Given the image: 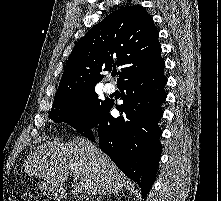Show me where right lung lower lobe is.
<instances>
[{"label": "right lung lower lobe", "instance_id": "1", "mask_svg": "<svg viewBox=\"0 0 221 201\" xmlns=\"http://www.w3.org/2000/svg\"><path fill=\"white\" fill-rule=\"evenodd\" d=\"M164 67L162 60L151 70L120 83L119 89L126 91L121 97L123 104L117 106L120 117L111 116L113 101H110L98 121L81 131L82 136L94 141L92 130H96L101 150L138 183L142 198L152 187L162 151L158 121L163 115L160 105L167 97Z\"/></svg>", "mask_w": 221, "mask_h": 201}]
</instances>
